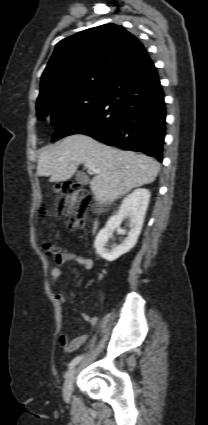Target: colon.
Wrapping results in <instances>:
<instances>
[{
  "mask_svg": "<svg viewBox=\"0 0 208 425\" xmlns=\"http://www.w3.org/2000/svg\"><path fill=\"white\" fill-rule=\"evenodd\" d=\"M55 192L59 196L61 205L65 207L67 224L71 229L85 228V209L89 200V195L85 189L74 182H64L55 187ZM43 213L49 210L42 209ZM45 252L50 256L60 255V248L53 244L44 245Z\"/></svg>",
  "mask_w": 208,
  "mask_h": 425,
  "instance_id": "5ec220e1",
  "label": "colon"
}]
</instances>
